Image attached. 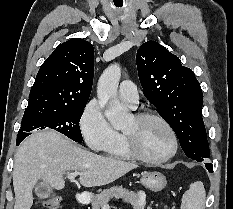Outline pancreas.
<instances>
[{
	"mask_svg": "<svg viewBox=\"0 0 233 209\" xmlns=\"http://www.w3.org/2000/svg\"><path fill=\"white\" fill-rule=\"evenodd\" d=\"M112 198L124 200L131 204L133 209H144L146 206V201L143 198L142 192L135 193L122 186H114L110 189L103 190L92 199V209H103Z\"/></svg>",
	"mask_w": 233,
	"mask_h": 209,
	"instance_id": "pancreas-1",
	"label": "pancreas"
}]
</instances>
